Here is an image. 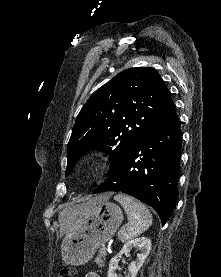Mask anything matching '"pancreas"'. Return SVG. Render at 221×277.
I'll list each match as a JSON object with an SVG mask.
<instances>
[{"mask_svg": "<svg viewBox=\"0 0 221 277\" xmlns=\"http://www.w3.org/2000/svg\"><path fill=\"white\" fill-rule=\"evenodd\" d=\"M106 255H107L106 251H104L102 249L99 250V253H98V256L95 259V262L100 268L104 267V262H105Z\"/></svg>", "mask_w": 221, "mask_h": 277, "instance_id": "pancreas-1", "label": "pancreas"}]
</instances>
